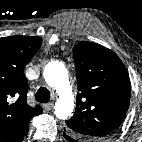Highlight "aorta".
<instances>
[{"instance_id":"obj_1","label":"aorta","mask_w":142,"mask_h":142,"mask_svg":"<svg viewBox=\"0 0 142 142\" xmlns=\"http://www.w3.org/2000/svg\"><path fill=\"white\" fill-rule=\"evenodd\" d=\"M44 79L49 87L55 90L58 99L54 105V114L58 119H67L74 109V96L64 64L50 61L46 64Z\"/></svg>"}]
</instances>
